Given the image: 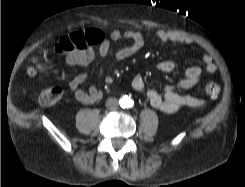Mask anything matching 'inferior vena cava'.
Wrapping results in <instances>:
<instances>
[{
    "mask_svg": "<svg viewBox=\"0 0 245 187\" xmlns=\"http://www.w3.org/2000/svg\"><path fill=\"white\" fill-rule=\"evenodd\" d=\"M106 107L110 110H116L118 108V100L116 98L107 99Z\"/></svg>",
    "mask_w": 245,
    "mask_h": 187,
    "instance_id": "602c4592",
    "label": "inferior vena cava"
}]
</instances>
